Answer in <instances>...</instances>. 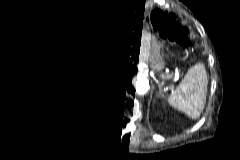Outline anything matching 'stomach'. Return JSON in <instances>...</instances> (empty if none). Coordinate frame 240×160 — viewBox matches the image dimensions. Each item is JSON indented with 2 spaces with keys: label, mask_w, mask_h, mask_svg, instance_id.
Wrapping results in <instances>:
<instances>
[{
  "label": "stomach",
  "mask_w": 240,
  "mask_h": 160,
  "mask_svg": "<svg viewBox=\"0 0 240 160\" xmlns=\"http://www.w3.org/2000/svg\"><path fill=\"white\" fill-rule=\"evenodd\" d=\"M124 48H130V58L146 63L154 72H161L164 59L161 53L160 37L154 31L134 28L131 35L123 37ZM114 38L111 39V44Z\"/></svg>",
  "instance_id": "0dacf381"
}]
</instances>
